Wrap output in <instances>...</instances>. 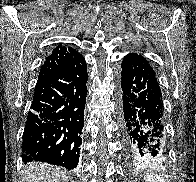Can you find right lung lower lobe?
<instances>
[{
	"mask_svg": "<svg viewBox=\"0 0 196 182\" xmlns=\"http://www.w3.org/2000/svg\"><path fill=\"white\" fill-rule=\"evenodd\" d=\"M87 67L83 56L36 85L23 133L24 162L77 167L84 126Z\"/></svg>",
	"mask_w": 196,
	"mask_h": 182,
	"instance_id": "98d812e1",
	"label": "right lung lower lobe"
}]
</instances>
